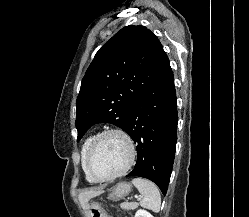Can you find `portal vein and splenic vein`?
Segmentation results:
<instances>
[{
  "label": "portal vein and splenic vein",
  "instance_id": "1",
  "mask_svg": "<svg viewBox=\"0 0 249 217\" xmlns=\"http://www.w3.org/2000/svg\"><path fill=\"white\" fill-rule=\"evenodd\" d=\"M142 196L141 195H136L134 198H136V199H139V198H141Z\"/></svg>",
  "mask_w": 249,
  "mask_h": 217
}]
</instances>
